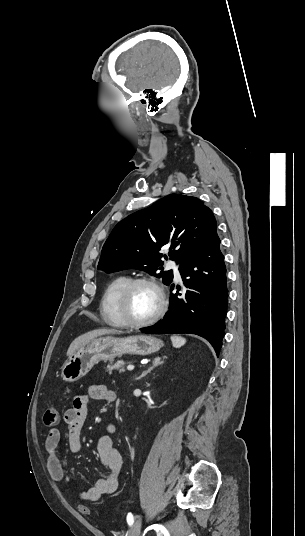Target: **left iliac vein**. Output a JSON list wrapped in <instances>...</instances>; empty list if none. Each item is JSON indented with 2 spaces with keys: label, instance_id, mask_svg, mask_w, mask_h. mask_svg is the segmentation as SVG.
Masks as SVG:
<instances>
[{
  "label": "left iliac vein",
  "instance_id": "1",
  "mask_svg": "<svg viewBox=\"0 0 305 536\" xmlns=\"http://www.w3.org/2000/svg\"><path fill=\"white\" fill-rule=\"evenodd\" d=\"M140 530H141V516L138 515L130 528L129 536H139Z\"/></svg>",
  "mask_w": 305,
  "mask_h": 536
}]
</instances>
